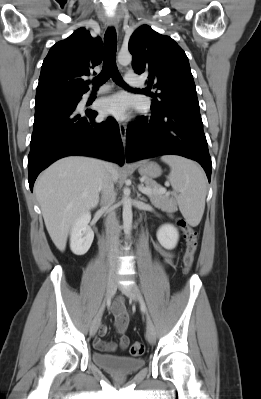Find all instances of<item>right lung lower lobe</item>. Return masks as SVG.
<instances>
[{"mask_svg": "<svg viewBox=\"0 0 261 399\" xmlns=\"http://www.w3.org/2000/svg\"><path fill=\"white\" fill-rule=\"evenodd\" d=\"M77 104L35 110L28 156L31 191L39 173L65 156H92L124 164L118 123L113 118L96 123L97 112L92 110L85 111L86 116L82 117L76 114Z\"/></svg>", "mask_w": 261, "mask_h": 399, "instance_id": "right-lung-lower-lobe-1", "label": "right lung lower lobe"}]
</instances>
